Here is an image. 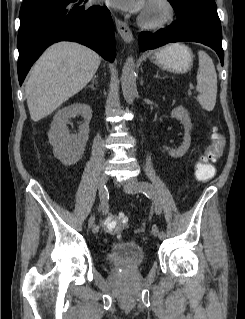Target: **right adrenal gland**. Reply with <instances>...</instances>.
I'll return each instance as SVG.
<instances>
[{"instance_id": "1", "label": "right adrenal gland", "mask_w": 245, "mask_h": 319, "mask_svg": "<svg viewBox=\"0 0 245 319\" xmlns=\"http://www.w3.org/2000/svg\"><path fill=\"white\" fill-rule=\"evenodd\" d=\"M96 75L93 77V79H92V84L89 86L90 88H92V89H95L94 88V83H95V79H96Z\"/></svg>"}]
</instances>
